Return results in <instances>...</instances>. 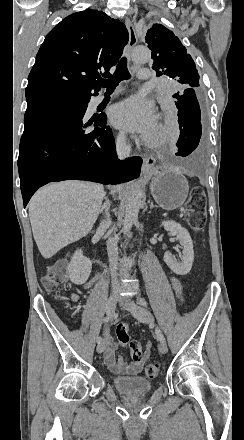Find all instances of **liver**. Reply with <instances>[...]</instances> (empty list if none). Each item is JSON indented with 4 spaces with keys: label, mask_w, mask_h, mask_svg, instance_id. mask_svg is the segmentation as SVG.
I'll return each mask as SVG.
<instances>
[{
    "label": "liver",
    "mask_w": 244,
    "mask_h": 440,
    "mask_svg": "<svg viewBox=\"0 0 244 440\" xmlns=\"http://www.w3.org/2000/svg\"><path fill=\"white\" fill-rule=\"evenodd\" d=\"M105 196L101 184L51 182L29 202V218L37 248L52 258L61 248L91 232Z\"/></svg>",
    "instance_id": "1"
}]
</instances>
